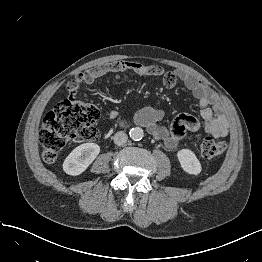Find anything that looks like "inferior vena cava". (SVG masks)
Instances as JSON below:
<instances>
[{"mask_svg": "<svg viewBox=\"0 0 262 262\" xmlns=\"http://www.w3.org/2000/svg\"><path fill=\"white\" fill-rule=\"evenodd\" d=\"M127 139L128 136L123 131L117 132L113 137L114 143L119 146L125 144L127 142Z\"/></svg>", "mask_w": 262, "mask_h": 262, "instance_id": "602c4592", "label": "inferior vena cava"}]
</instances>
